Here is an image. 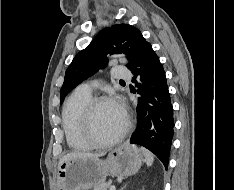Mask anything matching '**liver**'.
I'll return each mask as SVG.
<instances>
[{"label":"liver","mask_w":234,"mask_h":190,"mask_svg":"<svg viewBox=\"0 0 234 190\" xmlns=\"http://www.w3.org/2000/svg\"><path fill=\"white\" fill-rule=\"evenodd\" d=\"M103 155L104 153H85V152L68 153L59 160V165L71 159L88 158V157L99 158Z\"/></svg>","instance_id":"6515ba94"}]
</instances>
